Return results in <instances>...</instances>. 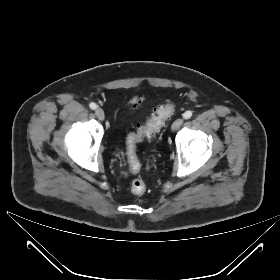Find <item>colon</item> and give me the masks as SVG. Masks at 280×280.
<instances>
[{"instance_id": "5ec220e1", "label": "colon", "mask_w": 280, "mask_h": 280, "mask_svg": "<svg viewBox=\"0 0 280 280\" xmlns=\"http://www.w3.org/2000/svg\"><path fill=\"white\" fill-rule=\"evenodd\" d=\"M176 108V104L168 103L157 108L151 118L144 125H137L136 131L131 133L125 142L126 154L132 171H137L140 163L136 154V144L143 139L152 140L160 131L165 121L170 118ZM146 190V184L141 179H135L131 183V192L134 195H142Z\"/></svg>"}]
</instances>
